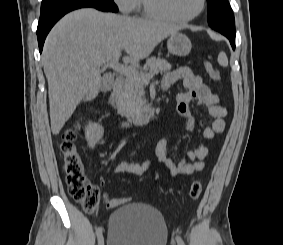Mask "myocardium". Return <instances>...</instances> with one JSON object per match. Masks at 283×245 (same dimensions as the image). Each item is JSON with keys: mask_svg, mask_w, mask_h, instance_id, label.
Wrapping results in <instances>:
<instances>
[{"mask_svg": "<svg viewBox=\"0 0 283 245\" xmlns=\"http://www.w3.org/2000/svg\"><path fill=\"white\" fill-rule=\"evenodd\" d=\"M142 1H143L144 10L147 15L170 22H190L196 19L197 17H199L203 13L207 4V0H201L200 7L195 14L188 17H175L164 11V9L161 6V0H142Z\"/></svg>", "mask_w": 283, "mask_h": 245, "instance_id": "obj_1", "label": "myocardium"}]
</instances>
